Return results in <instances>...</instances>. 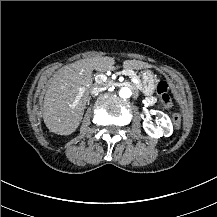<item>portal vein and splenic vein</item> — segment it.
<instances>
[{"label":"portal vein and splenic vein","mask_w":217,"mask_h":217,"mask_svg":"<svg viewBox=\"0 0 217 217\" xmlns=\"http://www.w3.org/2000/svg\"><path fill=\"white\" fill-rule=\"evenodd\" d=\"M132 81H134V78H133ZM81 97H82V93H79V94L76 96V99H75V101H74L73 104H72V107H75V106L77 105V103H78V101L81 99Z\"/></svg>","instance_id":"obj_1"}]
</instances>
